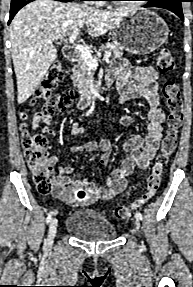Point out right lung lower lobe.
Masks as SVG:
<instances>
[{
	"label": "right lung lower lobe",
	"instance_id": "98d812e1",
	"mask_svg": "<svg viewBox=\"0 0 193 287\" xmlns=\"http://www.w3.org/2000/svg\"><path fill=\"white\" fill-rule=\"evenodd\" d=\"M34 0H11V8H10V17H9V21L8 24L11 22V20L13 19V17L15 16V14L26 4L32 2ZM57 1H61V2H71L73 0H57ZM84 1V0H81Z\"/></svg>",
	"mask_w": 193,
	"mask_h": 287
}]
</instances>
